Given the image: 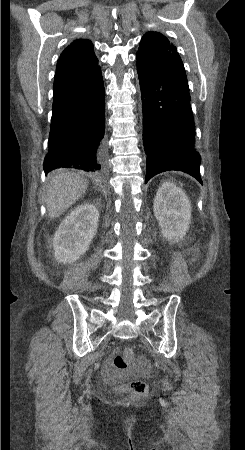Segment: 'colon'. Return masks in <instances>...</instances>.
Masks as SVG:
<instances>
[{
	"mask_svg": "<svg viewBox=\"0 0 245 450\" xmlns=\"http://www.w3.org/2000/svg\"><path fill=\"white\" fill-rule=\"evenodd\" d=\"M134 359V352L130 347L124 348L121 352H118L113 360V364L116 369L124 371L127 370ZM128 390L134 396H145L148 393V385L143 381H131L127 385L121 387Z\"/></svg>",
	"mask_w": 245,
	"mask_h": 450,
	"instance_id": "colon-1",
	"label": "colon"
}]
</instances>
